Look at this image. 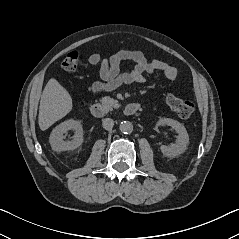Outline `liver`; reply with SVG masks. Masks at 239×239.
Segmentation results:
<instances>
[{
  "instance_id": "6515ba94",
  "label": "liver",
  "mask_w": 239,
  "mask_h": 239,
  "mask_svg": "<svg viewBox=\"0 0 239 239\" xmlns=\"http://www.w3.org/2000/svg\"><path fill=\"white\" fill-rule=\"evenodd\" d=\"M72 98L68 91L55 79L46 84L39 106L38 124L42 131L65 117L72 110Z\"/></svg>"
}]
</instances>
